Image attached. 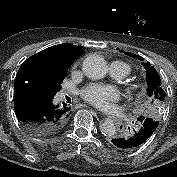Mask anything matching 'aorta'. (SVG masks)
Returning <instances> with one entry per match:
<instances>
[{
	"label": "aorta",
	"mask_w": 177,
	"mask_h": 177,
	"mask_svg": "<svg viewBox=\"0 0 177 177\" xmlns=\"http://www.w3.org/2000/svg\"><path fill=\"white\" fill-rule=\"evenodd\" d=\"M82 70L91 79H101L107 73V66L102 56L91 54L84 59ZM100 130L105 136H112L116 133V126L111 119H106L101 124Z\"/></svg>",
	"instance_id": "obj_1"
}]
</instances>
